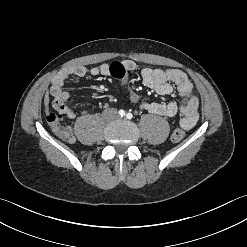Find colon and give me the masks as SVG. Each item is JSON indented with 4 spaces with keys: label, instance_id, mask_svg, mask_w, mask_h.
<instances>
[{
    "label": "colon",
    "instance_id": "obj_1",
    "mask_svg": "<svg viewBox=\"0 0 247 247\" xmlns=\"http://www.w3.org/2000/svg\"><path fill=\"white\" fill-rule=\"evenodd\" d=\"M111 74L113 77L118 79L126 78L127 71L119 62H114L111 65ZM129 101L132 104L144 105L147 103L148 98L146 95L139 92H134L131 89H128ZM63 115L61 113L50 112L47 115V121L53 128L54 133L61 139L71 141L73 139L71 130L68 126L62 123ZM186 136V132L182 128H177L173 131L171 139L174 142L182 141Z\"/></svg>",
    "mask_w": 247,
    "mask_h": 247
}]
</instances>
